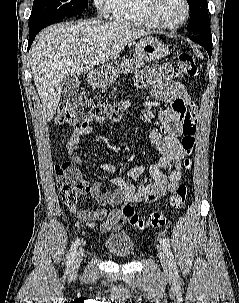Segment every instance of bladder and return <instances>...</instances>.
Wrapping results in <instances>:
<instances>
[{"instance_id": "1", "label": "bladder", "mask_w": 239, "mask_h": 303, "mask_svg": "<svg viewBox=\"0 0 239 303\" xmlns=\"http://www.w3.org/2000/svg\"><path fill=\"white\" fill-rule=\"evenodd\" d=\"M104 248L114 258L128 260L134 256L135 242L127 233H121L110 237L105 243Z\"/></svg>"}]
</instances>
